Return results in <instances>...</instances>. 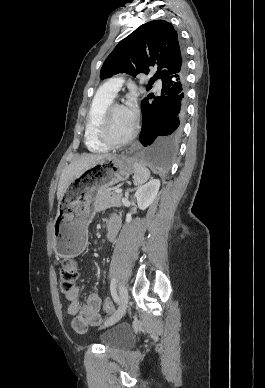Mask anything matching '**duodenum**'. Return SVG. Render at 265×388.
Wrapping results in <instances>:
<instances>
[{"instance_id": "duodenum-1", "label": "duodenum", "mask_w": 265, "mask_h": 388, "mask_svg": "<svg viewBox=\"0 0 265 388\" xmlns=\"http://www.w3.org/2000/svg\"><path fill=\"white\" fill-rule=\"evenodd\" d=\"M114 227H115V223L112 222V221H110V222L108 223V228H109L110 230H112Z\"/></svg>"}]
</instances>
